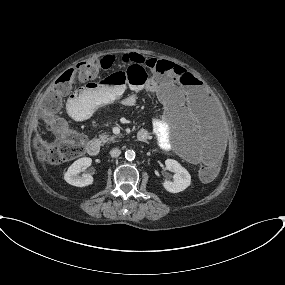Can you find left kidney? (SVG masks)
Segmentation results:
<instances>
[{
	"instance_id": "5707ae66",
	"label": "left kidney",
	"mask_w": 285,
	"mask_h": 285,
	"mask_svg": "<svg viewBox=\"0 0 285 285\" xmlns=\"http://www.w3.org/2000/svg\"><path fill=\"white\" fill-rule=\"evenodd\" d=\"M166 168L175 172L174 181H163V187L171 193L184 191L191 184V176L189 172L176 160L167 159L165 161Z\"/></svg>"
}]
</instances>
